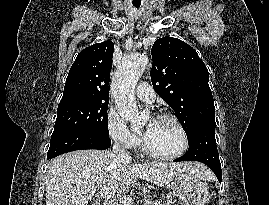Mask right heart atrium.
Segmentation results:
<instances>
[{
  "label": "right heart atrium",
  "instance_id": "obj_1",
  "mask_svg": "<svg viewBox=\"0 0 269 205\" xmlns=\"http://www.w3.org/2000/svg\"><path fill=\"white\" fill-rule=\"evenodd\" d=\"M106 130L109 137L124 148L134 149L139 144V138L126 127L120 116L113 110L107 112Z\"/></svg>",
  "mask_w": 269,
  "mask_h": 205
}]
</instances>
